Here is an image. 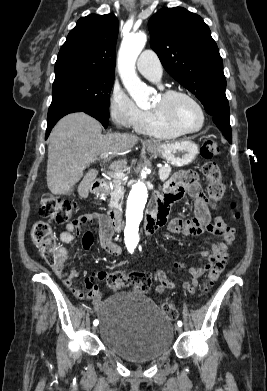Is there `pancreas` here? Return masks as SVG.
Listing matches in <instances>:
<instances>
[{
	"label": "pancreas",
	"mask_w": 267,
	"mask_h": 391,
	"mask_svg": "<svg viewBox=\"0 0 267 391\" xmlns=\"http://www.w3.org/2000/svg\"><path fill=\"white\" fill-rule=\"evenodd\" d=\"M171 173V167H162L159 170V176L162 181H165ZM125 182L122 179H115L112 182L108 183V189L106 193L110 195V208H117L120 206V201H122L125 188Z\"/></svg>",
	"instance_id": "1"
}]
</instances>
